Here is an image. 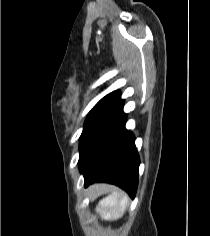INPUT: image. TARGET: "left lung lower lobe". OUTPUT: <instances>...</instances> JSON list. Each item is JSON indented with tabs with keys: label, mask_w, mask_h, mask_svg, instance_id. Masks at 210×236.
I'll return each instance as SVG.
<instances>
[{
	"label": "left lung lower lobe",
	"mask_w": 210,
	"mask_h": 236,
	"mask_svg": "<svg viewBox=\"0 0 210 236\" xmlns=\"http://www.w3.org/2000/svg\"><path fill=\"white\" fill-rule=\"evenodd\" d=\"M124 101L118 99L84 127L80 137L79 169L85 186L94 182L118 185L134 198L139 155L134 136L125 129Z\"/></svg>",
	"instance_id": "1"
}]
</instances>
